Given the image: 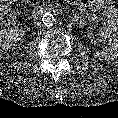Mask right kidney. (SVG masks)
I'll list each match as a JSON object with an SVG mask.
<instances>
[{
    "label": "right kidney",
    "instance_id": "1",
    "mask_svg": "<svg viewBox=\"0 0 118 118\" xmlns=\"http://www.w3.org/2000/svg\"><path fill=\"white\" fill-rule=\"evenodd\" d=\"M23 30L18 27L0 31V51L12 48L23 36Z\"/></svg>",
    "mask_w": 118,
    "mask_h": 118
}]
</instances>
